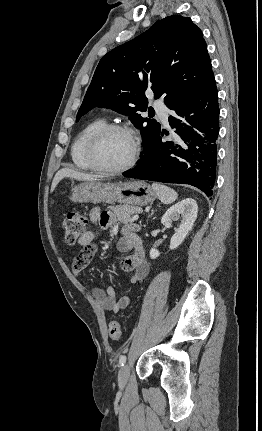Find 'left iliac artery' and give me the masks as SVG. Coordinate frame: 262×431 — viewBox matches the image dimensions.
<instances>
[{"instance_id":"obj_1","label":"left iliac artery","mask_w":262,"mask_h":431,"mask_svg":"<svg viewBox=\"0 0 262 431\" xmlns=\"http://www.w3.org/2000/svg\"><path fill=\"white\" fill-rule=\"evenodd\" d=\"M125 361H126V356L125 355L120 356V358H119L120 366H123Z\"/></svg>"}]
</instances>
